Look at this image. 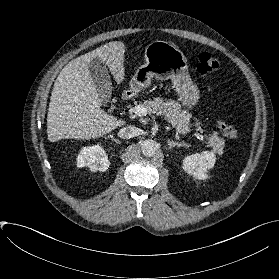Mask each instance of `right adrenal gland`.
<instances>
[{"label":"right adrenal gland","mask_w":279,"mask_h":279,"mask_svg":"<svg viewBox=\"0 0 279 279\" xmlns=\"http://www.w3.org/2000/svg\"><path fill=\"white\" fill-rule=\"evenodd\" d=\"M109 138H111V139H112L114 142H116V143H119V144L121 143L120 140L115 139V138L113 137V135H110Z\"/></svg>","instance_id":"2a0ac1e0"}]
</instances>
